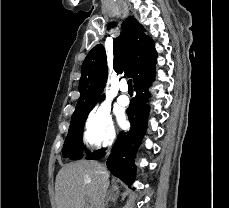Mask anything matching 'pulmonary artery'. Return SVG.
<instances>
[{"label":"pulmonary artery","instance_id":"1","mask_svg":"<svg viewBox=\"0 0 229 208\" xmlns=\"http://www.w3.org/2000/svg\"><path fill=\"white\" fill-rule=\"evenodd\" d=\"M127 89H128V86H127L126 81L122 80L120 83V90L122 94L119 96L118 101L121 105H124V106L128 105L130 102V99L127 95Z\"/></svg>","mask_w":229,"mask_h":208}]
</instances>
